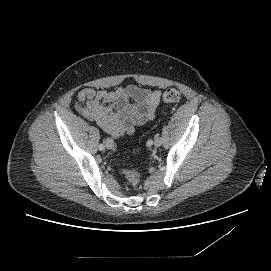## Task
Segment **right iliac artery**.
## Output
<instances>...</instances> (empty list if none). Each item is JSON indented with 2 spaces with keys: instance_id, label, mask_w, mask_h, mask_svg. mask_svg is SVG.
Masks as SVG:
<instances>
[{
  "instance_id": "obj_1",
  "label": "right iliac artery",
  "mask_w": 271,
  "mask_h": 271,
  "mask_svg": "<svg viewBox=\"0 0 271 271\" xmlns=\"http://www.w3.org/2000/svg\"><path fill=\"white\" fill-rule=\"evenodd\" d=\"M105 146L103 144L99 145V150H104Z\"/></svg>"
}]
</instances>
